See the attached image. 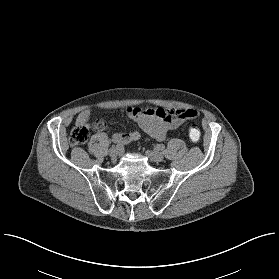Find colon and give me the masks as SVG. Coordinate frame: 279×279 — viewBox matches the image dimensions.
<instances>
[{
    "mask_svg": "<svg viewBox=\"0 0 279 279\" xmlns=\"http://www.w3.org/2000/svg\"><path fill=\"white\" fill-rule=\"evenodd\" d=\"M89 137V129L87 125H75L70 134V143L72 145H82ZM201 132L198 124L193 120L189 126V138L192 143L200 141Z\"/></svg>",
    "mask_w": 279,
    "mask_h": 279,
    "instance_id": "5ec220e1",
    "label": "colon"
}]
</instances>
